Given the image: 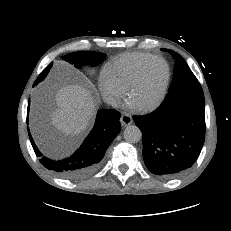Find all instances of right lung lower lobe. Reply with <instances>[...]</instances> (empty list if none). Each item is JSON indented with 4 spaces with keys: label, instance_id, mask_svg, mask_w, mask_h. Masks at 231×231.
I'll return each mask as SVG.
<instances>
[{
    "label": "right lung lower lobe",
    "instance_id": "1",
    "mask_svg": "<svg viewBox=\"0 0 231 231\" xmlns=\"http://www.w3.org/2000/svg\"><path fill=\"white\" fill-rule=\"evenodd\" d=\"M29 110V105H28ZM120 113L113 109L99 110L91 133L86 137L80 148L69 158L52 160L41 154L31 134L29 137L34 151L42 165L58 175L68 179H79L95 172L105 152L120 132Z\"/></svg>",
    "mask_w": 231,
    "mask_h": 231
}]
</instances>
